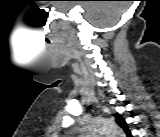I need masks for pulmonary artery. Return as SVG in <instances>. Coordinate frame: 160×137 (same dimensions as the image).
Masks as SVG:
<instances>
[{"label":"pulmonary artery","mask_w":160,"mask_h":137,"mask_svg":"<svg viewBox=\"0 0 160 137\" xmlns=\"http://www.w3.org/2000/svg\"><path fill=\"white\" fill-rule=\"evenodd\" d=\"M80 137H101L99 134H96L95 132H91L85 135H81Z\"/></svg>","instance_id":"1"}]
</instances>
